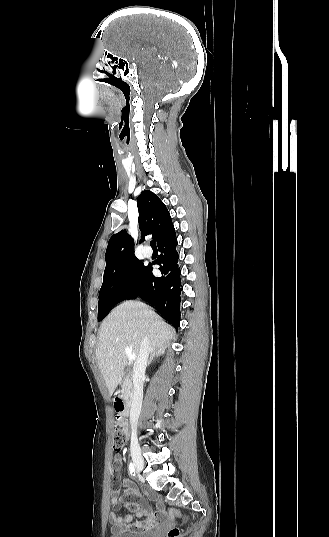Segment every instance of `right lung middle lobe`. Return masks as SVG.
Masks as SVG:
<instances>
[{
	"label": "right lung middle lobe",
	"mask_w": 329,
	"mask_h": 537,
	"mask_svg": "<svg viewBox=\"0 0 329 537\" xmlns=\"http://www.w3.org/2000/svg\"><path fill=\"white\" fill-rule=\"evenodd\" d=\"M144 269L145 265L137 258L106 266L99 292L98 320H102L114 305L129 297L139 285Z\"/></svg>",
	"instance_id": "right-lung-middle-lobe-1"
}]
</instances>
